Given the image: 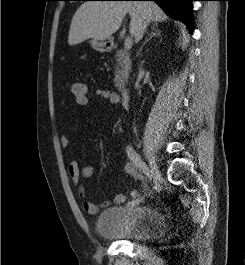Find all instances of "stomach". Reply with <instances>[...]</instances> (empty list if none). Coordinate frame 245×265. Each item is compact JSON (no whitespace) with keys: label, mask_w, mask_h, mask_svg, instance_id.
Returning <instances> with one entry per match:
<instances>
[{"label":"stomach","mask_w":245,"mask_h":265,"mask_svg":"<svg viewBox=\"0 0 245 265\" xmlns=\"http://www.w3.org/2000/svg\"><path fill=\"white\" fill-rule=\"evenodd\" d=\"M91 46L94 50L98 52H106L111 48L110 39H93L91 41Z\"/></svg>","instance_id":"obj_1"}]
</instances>
